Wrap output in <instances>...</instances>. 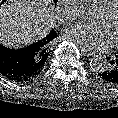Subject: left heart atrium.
Returning <instances> with one entry per match:
<instances>
[{"label":"left heart atrium","mask_w":118,"mask_h":118,"mask_svg":"<svg viewBox=\"0 0 118 118\" xmlns=\"http://www.w3.org/2000/svg\"><path fill=\"white\" fill-rule=\"evenodd\" d=\"M64 35L69 41L87 50L102 51L113 45L107 30L98 24L79 22L67 27Z\"/></svg>","instance_id":"obj_1"}]
</instances>
